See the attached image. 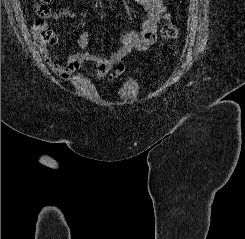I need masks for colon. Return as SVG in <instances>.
<instances>
[{"label":"colon","mask_w":245,"mask_h":239,"mask_svg":"<svg viewBox=\"0 0 245 239\" xmlns=\"http://www.w3.org/2000/svg\"><path fill=\"white\" fill-rule=\"evenodd\" d=\"M52 0H39L35 5L37 19L32 26V33L37 47L45 52L56 42V35L47 23V18L51 14L50 3ZM178 30L172 21L170 14H165L164 23L161 28V36L165 41L164 51L169 48V43L177 37Z\"/></svg>","instance_id":"1"}]
</instances>
